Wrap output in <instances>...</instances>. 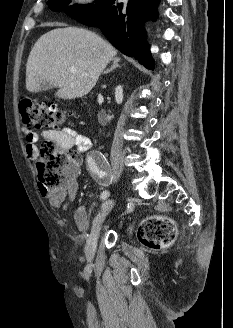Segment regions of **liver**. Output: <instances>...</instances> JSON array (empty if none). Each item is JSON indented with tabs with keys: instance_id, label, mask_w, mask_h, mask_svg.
I'll list each match as a JSON object with an SVG mask.
<instances>
[{
	"instance_id": "6515ba94",
	"label": "liver",
	"mask_w": 233,
	"mask_h": 328,
	"mask_svg": "<svg viewBox=\"0 0 233 328\" xmlns=\"http://www.w3.org/2000/svg\"><path fill=\"white\" fill-rule=\"evenodd\" d=\"M116 49L100 36L77 27L57 28L35 43L26 64V88L43 90L41 83L58 87L55 96L75 99L88 94L96 85ZM77 73L71 72V68Z\"/></svg>"
}]
</instances>
